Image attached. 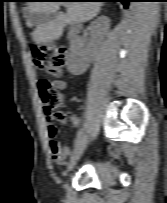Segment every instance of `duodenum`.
<instances>
[{"instance_id": "410a0bca", "label": "duodenum", "mask_w": 167, "mask_h": 203, "mask_svg": "<svg viewBox=\"0 0 167 203\" xmlns=\"http://www.w3.org/2000/svg\"><path fill=\"white\" fill-rule=\"evenodd\" d=\"M82 30L80 23L72 22L68 28V39L73 40Z\"/></svg>"}]
</instances>
